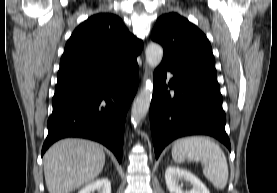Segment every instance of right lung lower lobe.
<instances>
[{
	"instance_id": "98d812e1",
	"label": "right lung lower lobe",
	"mask_w": 277,
	"mask_h": 193,
	"mask_svg": "<svg viewBox=\"0 0 277 193\" xmlns=\"http://www.w3.org/2000/svg\"><path fill=\"white\" fill-rule=\"evenodd\" d=\"M138 82L134 59L97 76L58 83L41 155L59 139L81 137L102 143L121 162L126 114Z\"/></svg>"
}]
</instances>
